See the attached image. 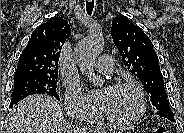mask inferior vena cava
I'll return each instance as SVG.
<instances>
[{
  "instance_id": "1",
  "label": "inferior vena cava",
  "mask_w": 184,
  "mask_h": 133,
  "mask_svg": "<svg viewBox=\"0 0 184 133\" xmlns=\"http://www.w3.org/2000/svg\"><path fill=\"white\" fill-rule=\"evenodd\" d=\"M75 129L80 132V133H86L87 132V129L86 128H82L80 125H76L75 126Z\"/></svg>"
}]
</instances>
